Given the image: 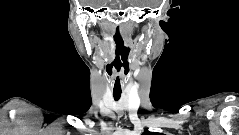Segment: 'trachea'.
<instances>
[{"instance_id": "obj_1", "label": "trachea", "mask_w": 239, "mask_h": 135, "mask_svg": "<svg viewBox=\"0 0 239 135\" xmlns=\"http://www.w3.org/2000/svg\"><path fill=\"white\" fill-rule=\"evenodd\" d=\"M113 97L115 101H118L121 97V93H113Z\"/></svg>"}]
</instances>
